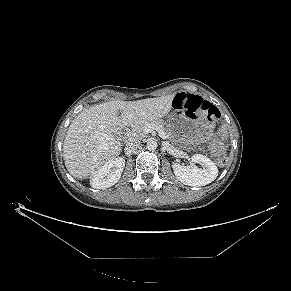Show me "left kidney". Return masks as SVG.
I'll use <instances>...</instances> for the list:
<instances>
[{
    "label": "left kidney",
    "mask_w": 291,
    "mask_h": 291,
    "mask_svg": "<svg viewBox=\"0 0 291 291\" xmlns=\"http://www.w3.org/2000/svg\"><path fill=\"white\" fill-rule=\"evenodd\" d=\"M194 164H200L202 168L196 166H182L173 163L172 167L177 179L188 186H205L216 179L218 168L213 161L202 154H194L191 157Z\"/></svg>",
    "instance_id": "5707ae66"
}]
</instances>
